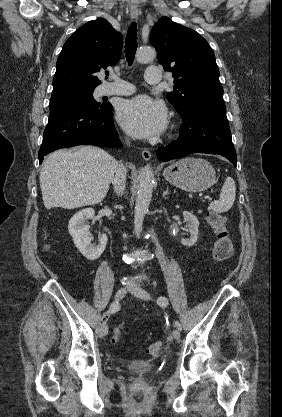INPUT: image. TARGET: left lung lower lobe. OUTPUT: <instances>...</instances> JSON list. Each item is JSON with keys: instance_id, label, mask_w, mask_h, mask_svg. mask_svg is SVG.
Wrapping results in <instances>:
<instances>
[{"instance_id": "left-lung-lower-lobe-1", "label": "left lung lower lobe", "mask_w": 282, "mask_h": 417, "mask_svg": "<svg viewBox=\"0 0 282 417\" xmlns=\"http://www.w3.org/2000/svg\"><path fill=\"white\" fill-rule=\"evenodd\" d=\"M179 114L183 118L180 136L177 141L157 150L160 161H169L193 153H208L222 155L236 166L237 157L223 98L199 97Z\"/></svg>"}]
</instances>
